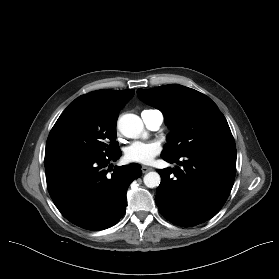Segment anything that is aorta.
Returning <instances> with one entry per match:
<instances>
[{"mask_svg": "<svg viewBox=\"0 0 279 279\" xmlns=\"http://www.w3.org/2000/svg\"><path fill=\"white\" fill-rule=\"evenodd\" d=\"M118 129L127 138H138L144 131V125L139 116L127 113L118 119ZM143 181L148 188H155L159 186L161 178L157 172H149Z\"/></svg>", "mask_w": 279, "mask_h": 279, "instance_id": "1", "label": "aorta"}]
</instances>
